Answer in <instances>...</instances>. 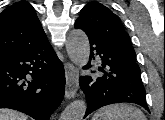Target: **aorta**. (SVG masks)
Masks as SVG:
<instances>
[{"label": "aorta", "instance_id": "762f6f07", "mask_svg": "<svg viewBox=\"0 0 165 120\" xmlns=\"http://www.w3.org/2000/svg\"><path fill=\"white\" fill-rule=\"evenodd\" d=\"M66 50L70 60L77 66L87 64L90 56V46L87 35L80 29H73L66 40ZM87 104L84 100L73 101L60 116V120H82Z\"/></svg>", "mask_w": 165, "mask_h": 120}]
</instances>
